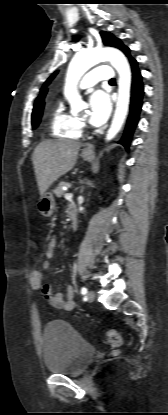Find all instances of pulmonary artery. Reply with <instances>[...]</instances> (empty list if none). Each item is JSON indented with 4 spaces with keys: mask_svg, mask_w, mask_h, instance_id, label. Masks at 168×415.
<instances>
[{
    "mask_svg": "<svg viewBox=\"0 0 168 415\" xmlns=\"http://www.w3.org/2000/svg\"><path fill=\"white\" fill-rule=\"evenodd\" d=\"M114 74L111 67L107 65L98 66L88 72L80 81L79 87L81 89L94 86L99 81H109L113 78Z\"/></svg>",
    "mask_w": 168,
    "mask_h": 415,
    "instance_id": "1",
    "label": "pulmonary artery"
}]
</instances>
